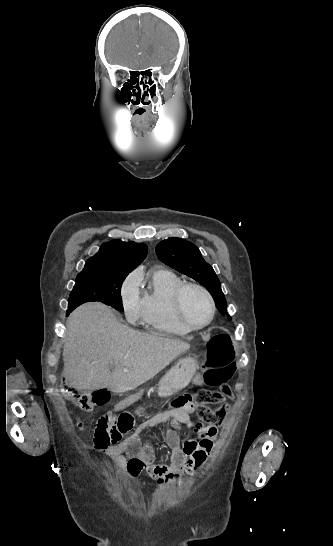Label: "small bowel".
Segmentation results:
<instances>
[{"label": "small bowel", "instance_id": "small-bowel-1", "mask_svg": "<svg viewBox=\"0 0 333 546\" xmlns=\"http://www.w3.org/2000/svg\"><path fill=\"white\" fill-rule=\"evenodd\" d=\"M203 371L195 370L191 375L194 387H200ZM144 392L146 389H140ZM214 391L205 393L208 398ZM142 395L137 392H131L126 401H117L114 412H122L125 408L136 402ZM221 406L212 410L206 405L197 407L189 403L182 407H174L168 411L158 413L138 426L135 425L134 418L130 416V435L118 444L109 449V456L114 466L118 469L126 470L130 476H137L145 471L155 479L159 484L183 481L187 474L201 469L207 459L212 455L215 443L218 439L217 427L223 426L224 417L231 408L226 398L220 402H215ZM197 408L198 416L205 422V425L198 428L196 423L190 418V413ZM170 423L172 425H183L186 431L181 434L175 430L167 433V443L172 449L171 461L169 464H158L155 462L153 450L149 446H144L141 442L142 434L149 428ZM194 430L198 438L189 436V431Z\"/></svg>", "mask_w": 333, "mask_h": 546}]
</instances>
